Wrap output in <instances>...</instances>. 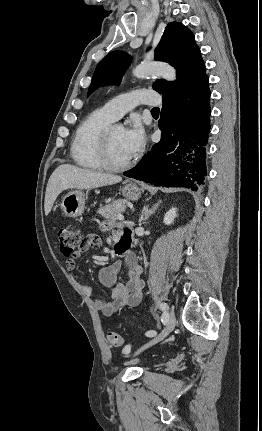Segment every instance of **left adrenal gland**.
<instances>
[{
    "label": "left adrenal gland",
    "mask_w": 262,
    "mask_h": 431,
    "mask_svg": "<svg viewBox=\"0 0 262 431\" xmlns=\"http://www.w3.org/2000/svg\"><path fill=\"white\" fill-rule=\"evenodd\" d=\"M159 204H160V201L158 203H156L151 209H149L148 205L145 206L143 208L140 221H146L152 214H154L155 211L157 210Z\"/></svg>",
    "instance_id": "obj_1"
}]
</instances>
